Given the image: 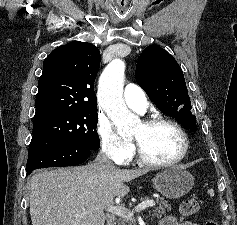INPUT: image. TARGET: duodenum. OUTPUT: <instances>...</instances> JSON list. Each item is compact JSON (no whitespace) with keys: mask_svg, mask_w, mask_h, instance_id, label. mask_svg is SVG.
I'll use <instances>...</instances> for the list:
<instances>
[{"mask_svg":"<svg viewBox=\"0 0 237 225\" xmlns=\"http://www.w3.org/2000/svg\"><path fill=\"white\" fill-rule=\"evenodd\" d=\"M109 225H115L114 223H110Z\"/></svg>","mask_w":237,"mask_h":225,"instance_id":"1","label":"duodenum"}]
</instances>
